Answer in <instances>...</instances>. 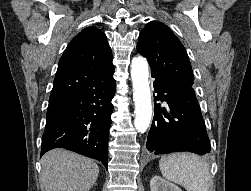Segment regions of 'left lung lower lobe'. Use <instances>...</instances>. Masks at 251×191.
Here are the masks:
<instances>
[{"mask_svg": "<svg viewBox=\"0 0 251 191\" xmlns=\"http://www.w3.org/2000/svg\"><path fill=\"white\" fill-rule=\"evenodd\" d=\"M155 78L154 119L146 148L152 154L189 151L199 155L210 153V141L193 87L174 84L151 71Z\"/></svg>", "mask_w": 251, "mask_h": 191, "instance_id": "1", "label": "left lung lower lobe"}]
</instances>
